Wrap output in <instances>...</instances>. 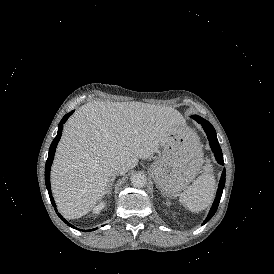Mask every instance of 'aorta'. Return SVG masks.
Returning a JSON list of instances; mask_svg holds the SVG:
<instances>
[{
  "instance_id": "aorta-1",
  "label": "aorta",
  "mask_w": 274,
  "mask_h": 274,
  "mask_svg": "<svg viewBox=\"0 0 274 274\" xmlns=\"http://www.w3.org/2000/svg\"><path fill=\"white\" fill-rule=\"evenodd\" d=\"M131 183L136 188H143L147 184V179L142 174H134L131 176Z\"/></svg>"
}]
</instances>
